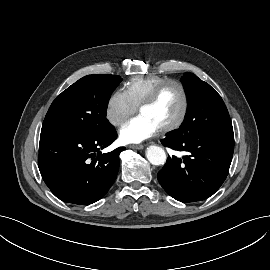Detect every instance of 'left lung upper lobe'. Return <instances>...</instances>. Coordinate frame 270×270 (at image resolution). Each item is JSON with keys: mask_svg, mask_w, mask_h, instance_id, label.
<instances>
[{"mask_svg": "<svg viewBox=\"0 0 270 270\" xmlns=\"http://www.w3.org/2000/svg\"><path fill=\"white\" fill-rule=\"evenodd\" d=\"M189 95V106L181 127L173 133L183 138L187 133H233L228 110L220 95L206 82L193 73L182 77Z\"/></svg>", "mask_w": 270, "mask_h": 270, "instance_id": "1", "label": "left lung upper lobe"}]
</instances>
